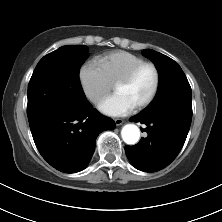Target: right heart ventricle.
I'll return each instance as SVG.
<instances>
[{"label":"right heart ventricle","instance_id":"e07e8e85","mask_svg":"<svg viewBox=\"0 0 222 222\" xmlns=\"http://www.w3.org/2000/svg\"><path fill=\"white\" fill-rule=\"evenodd\" d=\"M143 62L145 60L142 57L122 50L110 52L98 60L113 85Z\"/></svg>","mask_w":222,"mask_h":222}]
</instances>
